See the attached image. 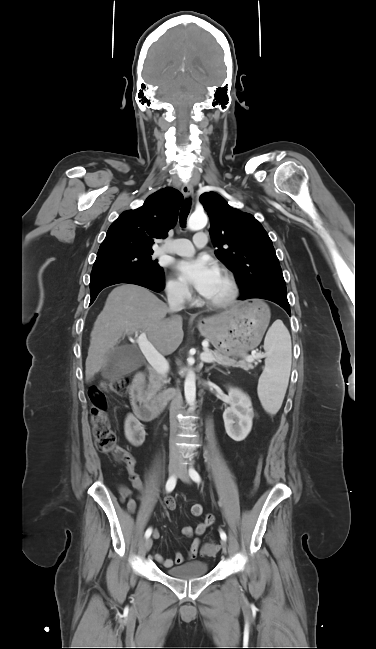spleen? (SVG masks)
Instances as JSON below:
<instances>
[{
  "label": "spleen",
  "instance_id": "spleen-1",
  "mask_svg": "<svg viewBox=\"0 0 376 649\" xmlns=\"http://www.w3.org/2000/svg\"><path fill=\"white\" fill-rule=\"evenodd\" d=\"M291 337L281 321L268 330L264 349L265 367L258 381V396L263 408L270 414L280 409L288 386L291 370Z\"/></svg>",
  "mask_w": 376,
  "mask_h": 649
}]
</instances>
